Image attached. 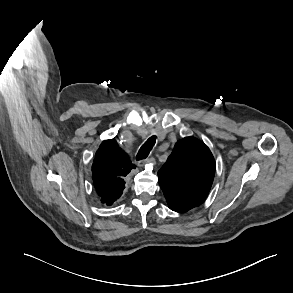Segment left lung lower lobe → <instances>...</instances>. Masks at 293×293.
Masks as SVG:
<instances>
[{
	"label": "left lung lower lobe",
	"mask_w": 293,
	"mask_h": 293,
	"mask_svg": "<svg viewBox=\"0 0 293 293\" xmlns=\"http://www.w3.org/2000/svg\"><path fill=\"white\" fill-rule=\"evenodd\" d=\"M169 208L173 211H176V212H179V213H184L186 211H184L183 209L181 208H178V207H175V206H169Z\"/></svg>",
	"instance_id": "1"
}]
</instances>
